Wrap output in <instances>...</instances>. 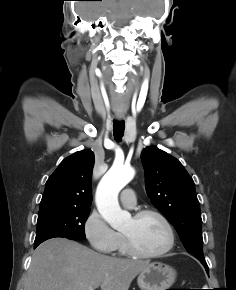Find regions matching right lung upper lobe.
I'll return each mask as SVG.
<instances>
[{
    "instance_id": "obj_1",
    "label": "right lung upper lobe",
    "mask_w": 236,
    "mask_h": 290,
    "mask_svg": "<svg viewBox=\"0 0 236 290\" xmlns=\"http://www.w3.org/2000/svg\"><path fill=\"white\" fill-rule=\"evenodd\" d=\"M94 153L82 150L65 158L46 182L40 209L48 207L90 208Z\"/></svg>"
}]
</instances>
